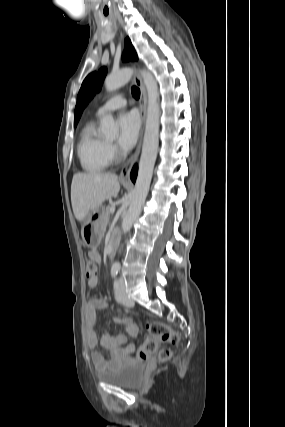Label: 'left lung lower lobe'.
<instances>
[{
	"mask_svg": "<svg viewBox=\"0 0 285 427\" xmlns=\"http://www.w3.org/2000/svg\"><path fill=\"white\" fill-rule=\"evenodd\" d=\"M137 176V166L135 165L132 172H131V179L133 182H135Z\"/></svg>",
	"mask_w": 285,
	"mask_h": 427,
	"instance_id": "1",
	"label": "left lung lower lobe"
}]
</instances>
